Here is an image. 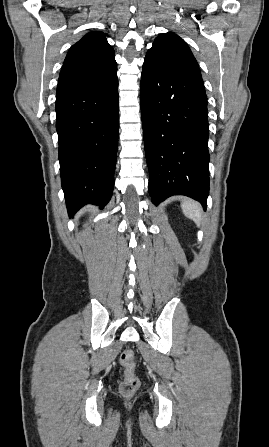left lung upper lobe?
I'll return each instance as SVG.
<instances>
[{
    "label": "left lung upper lobe",
    "instance_id": "1",
    "mask_svg": "<svg viewBox=\"0 0 269 447\" xmlns=\"http://www.w3.org/2000/svg\"><path fill=\"white\" fill-rule=\"evenodd\" d=\"M155 56L185 66L201 75L198 63L188 45L176 34H160L147 52Z\"/></svg>",
    "mask_w": 269,
    "mask_h": 447
}]
</instances>
